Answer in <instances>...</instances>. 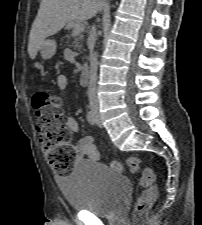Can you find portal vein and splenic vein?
Here are the masks:
<instances>
[{
  "label": "portal vein and splenic vein",
  "mask_w": 202,
  "mask_h": 225,
  "mask_svg": "<svg viewBox=\"0 0 202 225\" xmlns=\"http://www.w3.org/2000/svg\"><path fill=\"white\" fill-rule=\"evenodd\" d=\"M85 30V26L82 23H76L73 27L72 35L77 36Z\"/></svg>",
  "instance_id": "1"
}]
</instances>
